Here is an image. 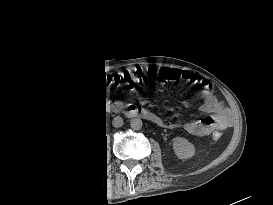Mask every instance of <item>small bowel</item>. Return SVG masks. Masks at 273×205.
<instances>
[{
	"label": "small bowel",
	"instance_id": "obj_1",
	"mask_svg": "<svg viewBox=\"0 0 273 205\" xmlns=\"http://www.w3.org/2000/svg\"><path fill=\"white\" fill-rule=\"evenodd\" d=\"M162 75L167 76L169 80H182L200 87V97L202 99L200 109L209 115L183 123L182 126L189 134L205 136L218 133L230 125L231 111L216 98L213 85L209 80L190 71L177 68L155 70L154 77L156 79H162Z\"/></svg>",
	"mask_w": 273,
	"mask_h": 205
}]
</instances>
